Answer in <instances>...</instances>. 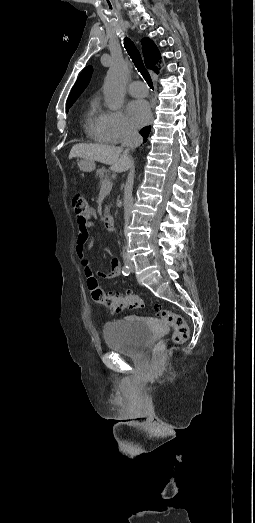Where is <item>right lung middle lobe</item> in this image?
<instances>
[{"mask_svg":"<svg viewBox=\"0 0 255 523\" xmlns=\"http://www.w3.org/2000/svg\"><path fill=\"white\" fill-rule=\"evenodd\" d=\"M73 103H74V101L67 102V109L70 108V107L72 106Z\"/></svg>","mask_w":255,"mask_h":523,"instance_id":"obj_1","label":"right lung middle lobe"}]
</instances>
